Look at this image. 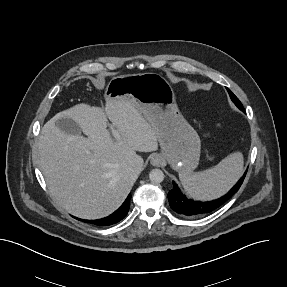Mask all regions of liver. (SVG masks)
Segmentation results:
<instances>
[{
	"instance_id": "6515ba94",
	"label": "liver",
	"mask_w": 287,
	"mask_h": 287,
	"mask_svg": "<svg viewBox=\"0 0 287 287\" xmlns=\"http://www.w3.org/2000/svg\"><path fill=\"white\" fill-rule=\"evenodd\" d=\"M68 117L87 137L66 134L55 122ZM107 119L121 140H114ZM156 130L127 100H106L104 110L86 103L57 113L42 128L38 163L53 198L83 219H99L125 200L139 173L131 164L136 151L158 149Z\"/></svg>"
}]
</instances>
